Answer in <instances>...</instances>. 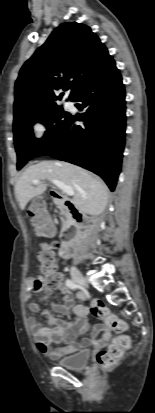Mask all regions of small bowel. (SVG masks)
<instances>
[{"instance_id":"obj_1","label":"small bowel","mask_w":155,"mask_h":413,"mask_svg":"<svg viewBox=\"0 0 155 413\" xmlns=\"http://www.w3.org/2000/svg\"><path fill=\"white\" fill-rule=\"evenodd\" d=\"M50 235H53V231H51ZM58 273L60 280L54 288L48 287L44 283L42 276L30 278L26 282L27 300H32L35 292L43 290L46 295H49L52 291L57 290L62 295V303H53L54 310L60 315L68 316L74 314L76 316L75 320L67 321L45 311L42 317L47 318L49 327H43L40 319L37 317H30L28 319V325L37 348L41 353L54 360L76 353L92 344L105 345L111 338V333L106 325H99L97 327V331L101 332V339L99 341L94 337L83 339L80 342L76 341L87 329L86 318L89 315V308L85 304L74 303L71 290L64 284V275L60 272ZM77 298L83 301L85 300V294L82 292L78 293ZM29 308L31 312L37 313L40 309V304L39 302H31ZM60 342H63L65 345L59 348L53 347V344Z\"/></svg>"}]
</instances>
